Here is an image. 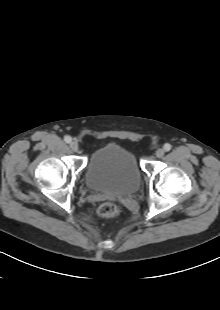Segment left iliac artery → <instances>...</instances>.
Returning a JSON list of instances; mask_svg holds the SVG:
<instances>
[{
	"instance_id": "1",
	"label": "left iliac artery",
	"mask_w": 220,
	"mask_h": 310,
	"mask_svg": "<svg viewBox=\"0 0 220 310\" xmlns=\"http://www.w3.org/2000/svg\"><path fill=\"white\" fill-rule=\"evenodd\" d=\"M171 148H172V146H171L169 143H166V144L164 145V150H165V151H170Z\"/></svg>"
}]
</instances>
